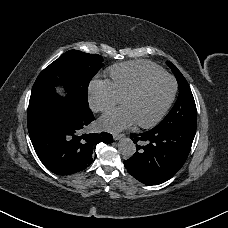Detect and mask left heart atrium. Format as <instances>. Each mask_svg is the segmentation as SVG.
Instances as JSON below:
<instances>
[{
    "instance_id": "left-heart-atrium-1",
    "label": "left heart atrium",
    "mask_w": 228,
    "mask_h": 228,
    "mask_svg": "<svg viewBox=\"0 0 228 228\" xmlns=\"http://www.w3.org/2000/svg\"><path fill=\"white\" fill-rule=\"evenodd\" d=\"M119 118H123V120H120ZM134 121L135 117L128 107L113 111L102 119V122L106 124V127L114 129H123Z\"/></svg>"
}]
</instances>
